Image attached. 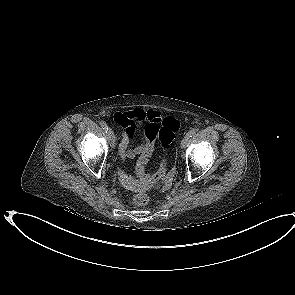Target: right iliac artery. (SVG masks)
Returning a JSON list of instances; mask_svg holds the SVG:
<instances>
[{"label":"right iliac artery","instance_id":"82829eb1","mask_svg":"<svg viewBox=\"0 0 295 295\" xmlns=\"http://www.w3.org/2000/svg\"><path fill=\"white\" fill-rule=\"evenodd\" d=\"M100 125H101V127L107 132V130H108V126H107V124H106L104 121H101V122H100Z\"/></svg>","mask_w":295,"mask_h":295}]
</instances>
